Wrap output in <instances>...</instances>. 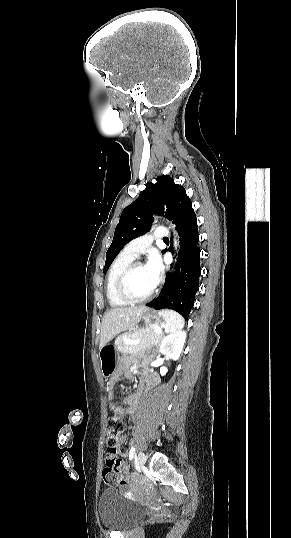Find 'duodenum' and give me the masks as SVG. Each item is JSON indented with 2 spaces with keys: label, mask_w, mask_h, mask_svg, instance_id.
<instances>
[{
  "label": "duodenum",
  "mask_w": 291,
  "mask_h": 538,
  "mask_svg": "<svg viewBox=\"0 0 291 538\" xmlns=\"http://www.w3.org/2000/svg\"><path fill=\"white\" fill-rule=\"evenodd\" d=\"M144 377H145V374L143 372H140L137 377V382H143Z\"/></svg>",
  "instance_id": "obj_1"
}]
</instances>
